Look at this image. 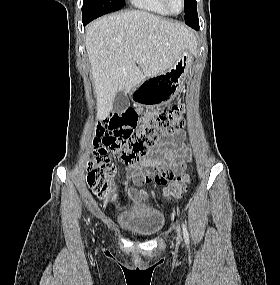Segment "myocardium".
Segmentation results:
<instances>
[{
	"label": "myocardium",
	"mask_w": 280,
	"mask_h": 285,
	"mask_svg": "<svg viewBox=\"0 0 280 285\" xmlns=\"http://www.w3.org/2000/svg\"><path fill=\"white\" fill-rule=\"evenodd\" d=\"M165 7L167 8V10L170 12V14H173V15H178L180 14L181 12L184 11L185 7H186V0H181L182 1V8L179 12H174L171 7H170V4H169V0H162Z\"/></svg>",
	"instance_id": "obj_1"
}]
</instances>
